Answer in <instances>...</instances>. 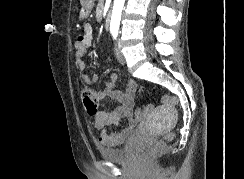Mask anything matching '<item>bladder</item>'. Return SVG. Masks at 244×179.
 I'll return each instance as SVG.
<instances>
[{
    "label": "bladder",
    "instance_id": "obj_1",
    "mask_svg": "<svg viewBox=\"0 0 244 179\" xmlns=\"http://www.w3.org/2000/svg\"><path fill=\"white\" fill-rule=\"evenodd\" d=\"M131 153V147L128 143L125 146L118 148H100L99 155L107 161L124 160L127 159Z\"/></svg>",
    "mask_w": 244,
    "mask_h": 179
}]
</instances>
